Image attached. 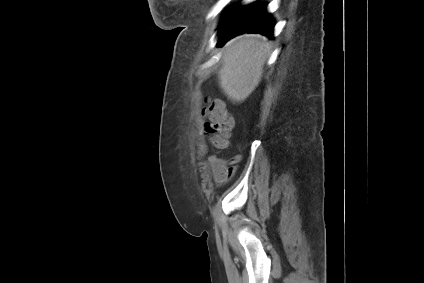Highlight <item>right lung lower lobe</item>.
Here are the masks:
<instances>
[{
  "label": "right lung lower lobe",
  "mask_w": 424,
  "mask_h": 283,
  "mask_svg": "<svg viewBox=\"0 0 424 283\" xmlns=\"http://www.w3.org/2000/svg\"><path fill=\"white\" fill-rule=\"evenodd\" d=\"M274 20L267 13L265 3H252L232 8L225 15L220 28L218 45L242 33H260L273 39Z\"/></svg>",
  "instance_id": "obj_1"
}]
</instances>
